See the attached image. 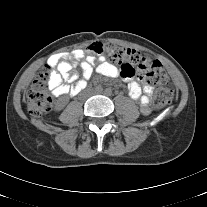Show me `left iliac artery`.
Wrapping results in <instances>:
<instances>
[{
  "label": "left iliac artery",
  "mask_w": 207,
  "mask_h": 207,
  "mask_svg": "<svg viewBox=\"0 0 207 207\" xmlns=\"http://www.w3.org/2000/svg\"><path fill=\"white\" fill-rule=\"evenodd\" d=\"M106 93L107 94H110L111 93V90L110 89H106Z\"/></svg>",
  "instance_id": "obj_1"
}]
</instances>
